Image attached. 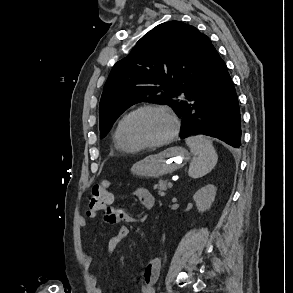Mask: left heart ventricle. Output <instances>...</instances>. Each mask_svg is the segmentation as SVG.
<instances>
[{"instance_id": "obj_1", "label": "left heart ventricle", "mask_w": 293, "mask_h": 293, "mask_svg": "<svg viewBox=\"0 0 293 293\" xmlns=\"http://www.w3.org/2000/svg\"><path fill=\"white\" fill-rule=\"evenodd\" d=\"M170 130V120L158 111H145L138 114L131 126L133 138L142 142L158 141L167 136Z\"/></svg>"}]
</instances>
